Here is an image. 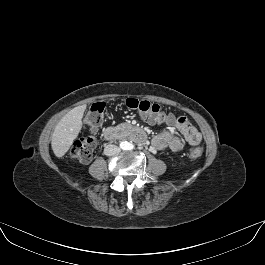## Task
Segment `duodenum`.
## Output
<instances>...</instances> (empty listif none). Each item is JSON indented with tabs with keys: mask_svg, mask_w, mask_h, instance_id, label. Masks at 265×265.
<instances>
[{
	"mask_svg": "<svg viewBox=\"0 0 265 265\" xmlns=\"http://www.w3.org/2000/svg\"><path fill=\"white\" fill-rule=\"evenodd\" d=\"M103 137L107 141L111 140H134L136 142L145 143V131L137 126L131 127H106L103 130Z\"/></svg>",
	"mask_w": 265,
	"mask_h": 265,
	"instance_id": "1",
	"label": "duodenum"
}]
</instances>
